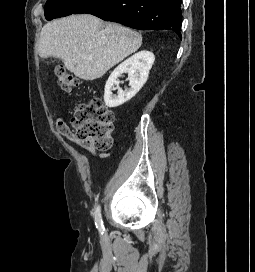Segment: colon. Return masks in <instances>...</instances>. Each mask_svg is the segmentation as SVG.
I'll return each instance as SVG.
<instances>
[{
  "label": "colon",
  "instance_id": "1",
  "mask_svg": "<svg viewBox=\"0 0 255 272\" xmlns=\"http://www.w3.org/2000/svg\"><path fill=\"white\" fill-rule=\"evenodd\" d=\"M58 84L66 92L78 87V79L65 68L56 71ZM115 116L99 98L78 105L73 111L71 124L76 138L95 150L106 151L111 148Z\"/></svg>",
  "mask_w": 255,
  "mask_h": 272
}]
</instances>
